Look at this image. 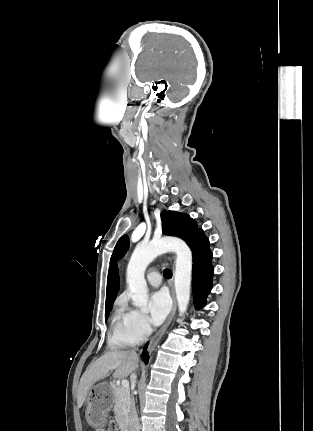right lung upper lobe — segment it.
Here are the masks:
<instances>
[{
	"label": "right lung upper lobe",
	"instance_id": "right-lung-upper-lobe-1",
	"mask_svg": "<svg viewBox=\"0 0 313 431\" xmlns=\"http://www.w3.org/2000/svg\"><path fill=\"white\" fill-rule=\"evenodd\" d=\"M119 286L120 280L118 274V267L116 262L114 260H111L107 280L106 308L113 305L119 291Z\"/></svg>",
	"mask_w": 313,
	"mask_h": 431
}]
</instances>
